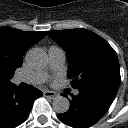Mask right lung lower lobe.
<instances>
[{
    "mask_svg": "<svg viewBox=\"0 0 128 128\" xmlns=\"http://www.w3.org/2000/svg\"><path fill=\"white\" fill-rule=\"evenodd\" d=\"M42 92L33 86L17 89L11 82L0 85V128H15L22 124Z\"/></svg>",
    "mask_w": 128,
    "mask_h": 128,
    "instance_id": "obj_1",
    "label": "right lung lower lobe"
}]
</instances>
